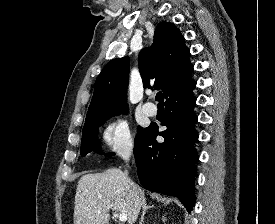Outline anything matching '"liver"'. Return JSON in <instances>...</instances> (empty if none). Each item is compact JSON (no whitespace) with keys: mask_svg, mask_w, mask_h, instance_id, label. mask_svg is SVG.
<instances>
[{"mask_svg":"<svg viewBox=\"0 0 275 224\" xmlns=\"http://www.w3.org/2000/svg\"><path fill=\"white\" fill-rule=\"evenodd\" d=\"M144 203V191L120 169L85 174L77 185L74 224H109L110 210L134 224Z\"/></svg>","mask_w":275,"mask_h":224,"instance_id":"1","label":"liver"}]
</instances>
